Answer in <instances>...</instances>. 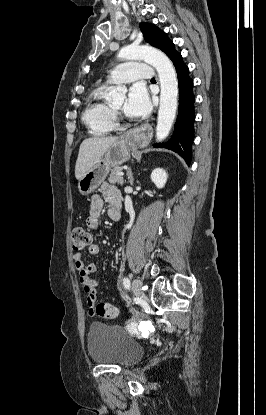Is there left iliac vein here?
<instances>
[{
  "mask_svg": "<svg viewBox=\"0 0 266 415\" xmlns=\"http://www.w3.org/2000/svg\"><path fill=\"white\" fill-rule=\"evenodd\" d=\"M132 291L138 298H142L144 296V292L142 290V282L139 279L133 280Z\"/></svg>",
  "mask_w": 266,
  "mask_h": 415,
  "instance_id": "obj_1",
  "label": "left iliac vein"
}]
</instances>
